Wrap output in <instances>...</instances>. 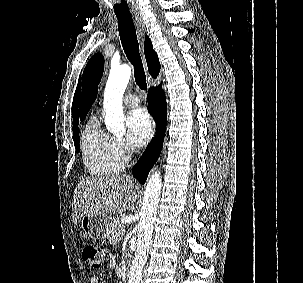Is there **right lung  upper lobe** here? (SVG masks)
<instances>
[{
	"label": "right lung upper lobe",
	"mask_w": 303,
	"mask_h": 283,
	"mask_svg": "<svg viewBox=\"0 0 303 283\" xmlns=\"http://www.w3.org/2000/svg\"><path fill=\"white\" fill-rule=\"evenodd\" d=\"M144 52H145L149 73L152 75V77L156 78L160 71V63L156 52L153 50L152 43L148 36L145 37ZM80 87H81V81L79 79L73 98V104H72L73 128L78 126L79 123L78 99H79Z\"/></svg>",
	"instance_id": "obj_1"
}]
</instances>
